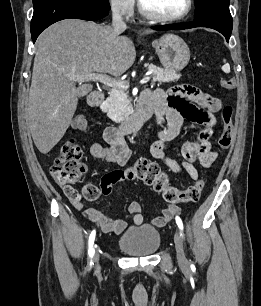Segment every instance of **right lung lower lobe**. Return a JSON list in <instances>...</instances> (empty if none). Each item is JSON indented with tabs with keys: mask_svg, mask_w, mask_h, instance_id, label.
Masks as SVG:
<instances>
[{
	"mask_svg": "<svg viewBox=\"0 0 261 306\" xmlns=\"http://www.w3.org/2000/svg\"><path fill=\"white\" fill-rule=\"evenodd\" d=\"M31 37L35 42L39 34L51 24L69 18L99 20L109 9L82 0H33Z\"/></svg>",
	"mask_w": 261,
	"mask_h": 306,
	"instance_id": "1",
	"label": "right lung lower lobe"
}]
</instances>
